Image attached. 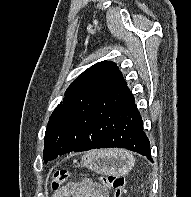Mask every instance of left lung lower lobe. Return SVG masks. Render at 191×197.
Instances as JSON below:
<instances>
[{
  "instance_id": "0a47b994",
  "label": "left lung lower lobe",
  "mask_w": 191,
  "mask_h": 197,
  "mask_svg": "<svg viewBox=\"0 0 191 197\" xmlns=\"http://www.w3.org/2000/svg\"><path fill=\"white\" fill-rule=\"evenodd\" d=\"M64 131L73 152L117 147L152 161L150 142L126 82L86 100Z\"/></svg>"
}]
</instances>
